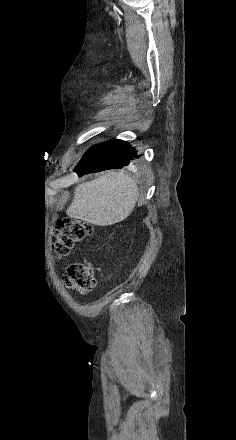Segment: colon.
Returning <instances> with one entry per match:
<instances>
[{"label": "colon", "mask_w": 236, "mask_h": 440, "mask_svg": "<svg viewBox=\"0 0 236 440\" xmlns=\"http://www.w3.org/2000/svg\"><path fill=\"white\" fill-rule=\"evenodd\" d=\"M92 226L84 221L66 218L58 222L55 250L59 259L66 257L73 247L92 233ZM66 284L79 292H88L96 284L92 267L87 263H71L67 269Z\"/></svg>", "instance_id": "colon-1"}]
</instances>
